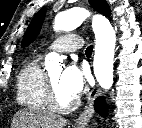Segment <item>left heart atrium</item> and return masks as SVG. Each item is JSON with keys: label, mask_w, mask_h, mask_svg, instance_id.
I'll return each instance as SVG.
<instances>
[{"label": "left heart atrium", "mask_w": 142, "mask_h": 128, "mask_svg": "<svg viewBox=\"0 0 142 128\" xmlns=\"http://www.w3.org/2000/svg\"><path fill=\"white\" fill-rule=\"evenodd\" d=\"M89 78V72L86 67L72 63L63 71L60 85L68 94L75 97L84 91Z\"/></svg>", "instance_id": "1"}]
</instances>
